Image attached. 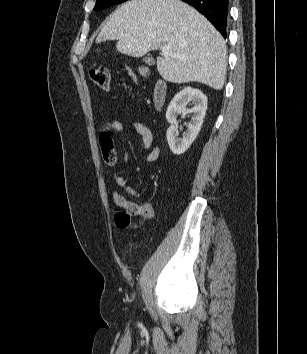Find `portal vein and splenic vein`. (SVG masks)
<instances>
[{"label":"portal vein and splenic vein","mask_w":307,"mask_h":354,"mask_svg":"<svg viewBox=\"0 0 307 354\" xmlns=\"http://www.w3.org/2000/svg\"><path fill=\"white\" fill-rule=\"evenodd\" d=\"M161 51H162V55H163L164 57H168V56H174V57H176V56H178L177 54H175V53H173V52L171 51V48H170V46H168V45L161 47Z\"/></svg>","instance_id":"portal-vein-and-splenic-vein-1"}]
</instances>
